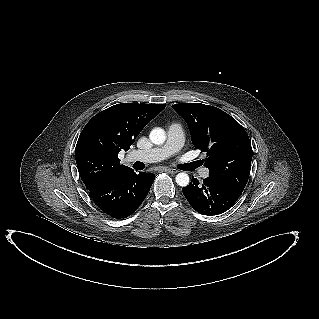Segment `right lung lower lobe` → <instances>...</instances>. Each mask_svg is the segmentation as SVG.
I'll return each mask as SVG.
<instances>
[{"label": "right lung lower lobe", "mask_w": 319, "mask_h": 319, "mask_svg": "<svg viewBox=\"0 0 319 319\" xmlns=\"http://www.w3.org/2000/svg\"><path fill=\"white\" fill-rule=\"evenodd\" d=\"M154 178V174H136L129 168L89 191L104 213L115 219L126 218L142 204Z\"/></svg>", "instance_id": "obj_1"}]
</instances>
